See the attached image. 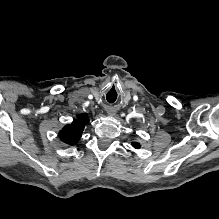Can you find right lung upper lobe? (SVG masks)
I'll use <instances>...</instances> for the list:
<instances>
[{"instance_id": "obj_1", "label": "right lung upper lobe", "mask_w": 219, "mask_h": 219, "mask_svg": "<svg viewBox=\"0 0 219 219\" xmlns=\"http://www.w3.org/2000/svg\"><path fill=\"white\" fill-rule=\"evenodd\" d=\"M88 121L87 114H79L77 119L74 120L72 124L66 125L59 133V137L62 142L67 145H74L76 144L82 135L84 130V126Z\"/></svg>"}]
</instances>
